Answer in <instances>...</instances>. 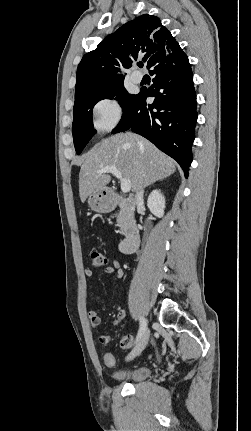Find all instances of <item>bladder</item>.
I'll return each instance as SVG.
<instances>
[{"mask_svg":"<svg viewBox=\"0 0 251 431\" xmlns=\"http://www.w3.org/2000/svg\"><path fill=\"white\" fill-rule=\"evenodd\" d=\"M151 374V369L147 366H138L129 370H122L113 373V378L117 381L136 382L147 378Z\"/></svg>","mask_w":251,"mask_h":431,"instance_id":"31cf9c89","label":"bladder"}]
</instances>
